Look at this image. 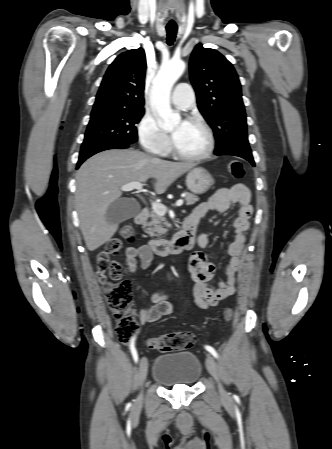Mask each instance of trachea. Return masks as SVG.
Here are the masks:
<instances>
[{
	"label": "trachea",
	"mask_w": 332,
	"mask_h": 449,
	"mask_svg": "<svg viewBox=\"0 0 332 449\" xmlns=\"http://www.w3.org/2000/svg\"><path fill=\"white\" fill-rule=\"evenodd\" d=\"M166 31H167V44L172 45L176 38L177 26H166Z\"/></svg>",
	"instance_id": "obj_1"
}]
</instances>
